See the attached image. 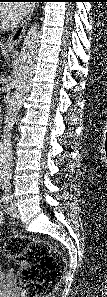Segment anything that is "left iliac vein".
<instances>
[{
	"instance_id": "left-iliac-vein-1",
	"label": "left iliac vein",
	"mask_w": 107,
	"mask_h": 297,
	"mask_svg": "<svg viewBox=\"0 0 107 297\" xmlns=\"http://www.w3.org/2000/svg\"><path fill=\"white\" fill-rule=\"evenodd\" d=\"M8 213L12 218H18L19 217V210L17 206L14 203H11L8 207Z\"/></svg>"
}]
</instances>
